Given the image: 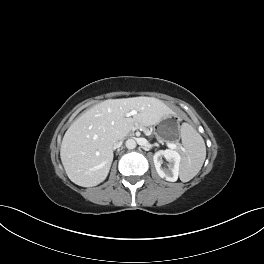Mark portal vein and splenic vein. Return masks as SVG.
<instances>
[{"instance_id":"18ae733b","label":"portal vein and splenic vein","mask_w":264,"mask_h":264,"mask_svg":"<svg viewBox=\"0 0 264 264\" xmlns=\"http://www.w3.org/2000/svg\"><path fill=\"white\" fill-rule=\"evenodd\" d=\"M135 114H137V112H136L135 110H132L131 112H129V113L127 114V116H133V115H135ZM166 144H167L168 147L176 148V145H175L174 143H171V142H168V141H167Z\"/></svg>"}]
</instances>
